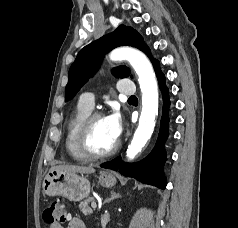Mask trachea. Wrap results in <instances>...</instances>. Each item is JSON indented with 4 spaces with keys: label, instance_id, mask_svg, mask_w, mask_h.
<instances>
[{
    "label": "trachea",
    "instance_id": "3493384b",
    "mask_svg": "<svg viewBox=\"0 0 238 228\" xmlns=\"http://www.w3.org/2000/svg\"><path fill=\"white\" fill-rule=\"evenodd\" d=\"M134 99H137V97L136 96L129 97V100H134Z\"/></svg>",
    "mask_w": 238,
    "mask_h": 228
}]
</instances>
